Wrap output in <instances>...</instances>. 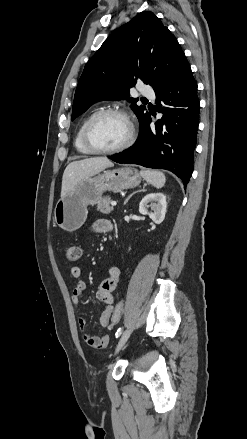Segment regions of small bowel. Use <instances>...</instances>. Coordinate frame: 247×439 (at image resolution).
<instances>
[{
	"mask_svg": "<svg viewBox=\"0 0 247 439\" xmlns=\"http://www.w3.org/2000/svg\"><path fill=\"white\" fill-rule=\"evenodd\" d=\"M113 228L112 223L107 219H99L92 225V231L95 233H106ZM72 278L78 280L71 294V300L74 304H79L80 298L83 292L86 290L87 285L84 281L80 280L81 267L79 264L74 265L70 269ZM120 278V270L116 266H112L109 269L108 276L100 283L96 297L98 300L106 304L100 318L99 323L103 327H107L110 324V318L114 309V295L113 292L117 287V283ZM79 328L81 330L85 343L94 349L106 348L109 344V336H92L87 331L86 321L83 317L78 319Z\"/></svg>",
	"mask_w": 247,
	"mask_h": 439,
	"instance_id": "obj_1",
	"label": "small bowel"
}]
</instances>
